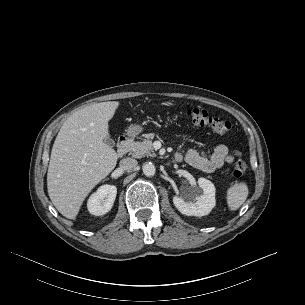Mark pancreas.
I'll return each mask as SVG.
<instances>
[{"mask_svg":"<svg viewBox=\"0 0 305 305\" xmlns=\"http://www.w3.org/2000/svg\"><path fill=\"white\" fill-rule=\"evenodd\" d=\"M154 137V134H146L145 140L142 142L132 141L130 143V154L135 158H142L144 156H154V149L152 146L151 139Z\"/></svg>","mask_w":305,"mask_h":305,"instance_id":"obj_1","label":"pancreas"}]
</instances>
